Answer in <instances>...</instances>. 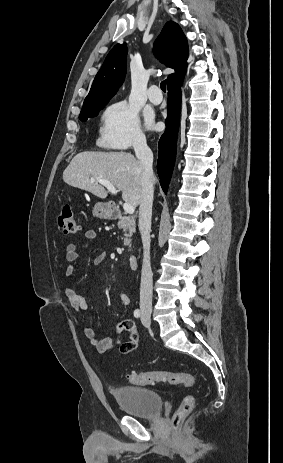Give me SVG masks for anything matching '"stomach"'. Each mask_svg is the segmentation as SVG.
I'll list each match as a JSON object with an SVG mask.
<instances>
[{
    "instance_id": "obj_1",
    "label": "stomach",
    "mask_w": 283,
    "mask_h": 463,
    "mask_svg": "<svg viewBox=\"0 0 283 463\" xmlns=\"http://www.w3.org/2000/svg\"><path fill=\"white\" fill-rule=\"evenodd\" d=\"M94 216L100 219H110L113 215V208L110 203L98 202L93 208Z\"/></svg>"
}]
</instances>
